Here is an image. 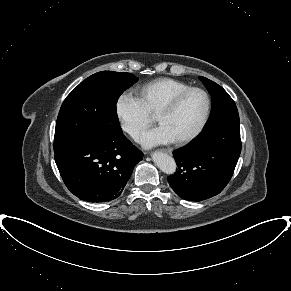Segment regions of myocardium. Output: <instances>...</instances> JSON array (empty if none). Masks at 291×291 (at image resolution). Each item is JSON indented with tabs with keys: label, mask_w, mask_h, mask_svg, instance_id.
<instances>
[{
	"label": "myocardium",
	"mask_w": 291,
	"mask_h": 291,
	"mask_svg": "<svg viewBox=\"0 0 291 291\" xmlns=\"http://www.w3.org/2000/svg\"><path fill=\"white\" fill-rule=\"evenodd\" d=\"M191 92H199L204 96V98H205L204 112H203V115H202V118H201L199 124L197 125V127L194 129L193 132H191L189 135H187L181 139L174 141V143L177 145H184V144L189 143L190 141L194 140L205 128V126L208 122L209 116H210V111H211V97H210L209 93L203 88L190 86V87L176 93L173 97H171L159 109V111L156 114V121L158 122V120L161 116L171 113L177 107V105L180 103V101Z\"/></svg>",
	"instance_id": "myocardium-1"
}]
</instances>
